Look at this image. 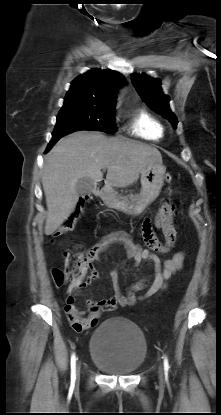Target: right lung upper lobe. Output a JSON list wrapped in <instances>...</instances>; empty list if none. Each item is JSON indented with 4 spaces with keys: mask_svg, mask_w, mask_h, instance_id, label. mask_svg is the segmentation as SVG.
Listing matches in <instances>:
<instances>
[{
    "mask_svg": "<svg viewBox=\"0 0 221 415\" xmlns=\"http://www.w3.org/2000/svg\"><path fill=\"white\" fill-rule=\"evenodd\" d=\"M124 82V76L116 71L93 69L78 76L71 83L65 99L92 100L114 104L117 89Z\"/></svg>",
    "mask_w": 221,
    "mask_h": 415,
    "instance_id": "right-lung-upper-lobe-1",
    "label": "right lung upper lobe"
}]
</instances>
